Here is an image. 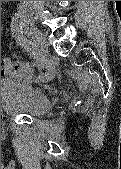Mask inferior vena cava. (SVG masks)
<instances>
[{
	"mask_svg": "<svg viewBox=\"0 0 121 169\" xmlns=\"http://www.w3.org/2000/svg\"><path fill=\"white\" fill-rule=\"evenodd\" d=\"M27 3H32L33 1H26Z\"/></svg>",
	"mask_w": 121,
	"mask_h": 169,
	"instance_id": "602c4592",
	"label": "inferior vena cava"
}]
</instances>
